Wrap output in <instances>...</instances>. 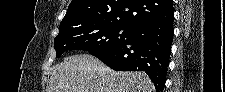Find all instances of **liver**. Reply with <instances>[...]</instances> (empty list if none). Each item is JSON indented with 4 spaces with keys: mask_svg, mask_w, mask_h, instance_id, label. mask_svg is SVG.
<instances>
[{
    "mask_svg": "<svg viewBox=\"0 0 225 92\" xmlns=\"http://www.w3.org/2000/svg\"><path fill=\"white\" fill-rule=\"evenodd\" d=\"M144 72L114 71L90 54L67 57L52 68L47 92H154Z\"/></svg>",
    "mask_w": 225,
    "mask_h": 92,
    "instance_id": "6515ba94",
    "label": "liver"
}]
</instances>
